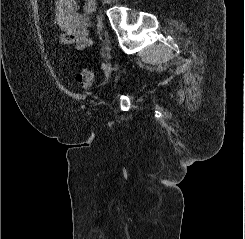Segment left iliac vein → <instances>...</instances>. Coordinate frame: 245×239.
I'll list each match as a JSON object with an SVG mask.
<instances>
[{
  "label": "left iliac vein",
  "mask_w": 245,
  "mask_h": 239,
  "mask_svg": "<svg viewBox=\"0 0 245 239\" xmlns=\"http://www.w3.org/2000/svg\"><path fill=\"white\" fill-rule=\"evenodd\" d=\"M111 70H112V65L110 62H108L106 65H105V69H104V73H105V77H108L111 73Z\"/></svg>",
  "instance_id": "left-iliac-vein-1"
}]
</instances>
